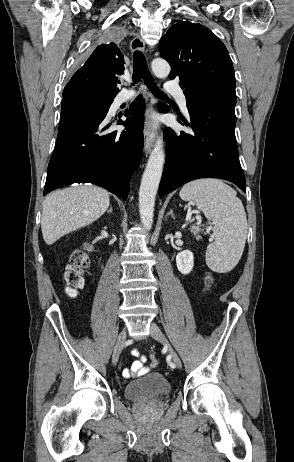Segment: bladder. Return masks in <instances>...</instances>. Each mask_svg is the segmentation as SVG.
Wrapping results in <instances>:
<instances>
[{
	"label": "bladder",
	"mask_w": 294,
	"mask_h": 462,
	"mask_svg": "<svg viewBox=\"0 0 294 462\" xmlns=\"http://www.w3.org/2000/svg\"><path fill=\"white\" fill-rule=\"evenodd\" d=\"M171 392V384L159 373H151L128 383L124 395L132 401H143L163 397Z\"/></svg>",
	"instance_id": "obj_1"
}]
</instances>
